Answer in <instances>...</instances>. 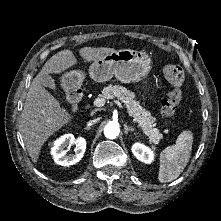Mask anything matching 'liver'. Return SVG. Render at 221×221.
<instances>
[{"label": "liver", "instance_id": "liver-1", "mask_svg": "<svg viewBox=\"0 0 221 221\" xmlns=\"http://www.w3.org/2000/svg\"><path fill=\"white\" fill-rule=\"evenodd\" d=\"M114 51L116 50L107 47H83L79 54L85 62H91ZM75 64L77 59L73 52L62 50L44 64L29 87L22 111L20 132L34 163H37L40 150L47 139L72 120V115L42 86V76L60 74Z\"/></svg>", "mask_w": 221, "mask_h": 221}]
</instances>
